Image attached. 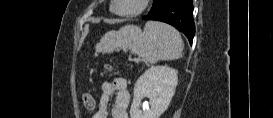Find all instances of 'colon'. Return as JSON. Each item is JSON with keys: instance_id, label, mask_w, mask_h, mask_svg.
I'll list each match as a JSON object with an SVG mask.
<instances>
[{"instance_id": "1", "label": "colon", "mask_w": 273, "mask_h": 118, "mask_svg": "<svg viewBox=\"0 0 273 118\" xmlns=\"http://www.w3.org/2000/svg\"><path fill=\"white\" fill-rule=\"evenodd\" d=\"M106 70L111 72L112 68L111 67H106ZM83 104L88 110H93L94 109V101L89 93H84L83 95Z\"/></svg>"}]
</instances>
